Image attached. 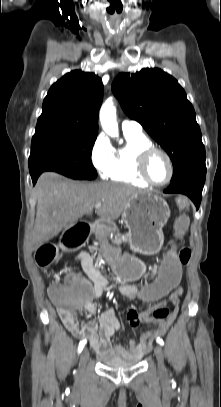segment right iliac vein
<instances>
[{
    "mask_svg": "<svg viewBox=\"0 0 221 407\" xmlns=\"http://www.w3.org/2000/svg\"><path fill=\"white\" fill-rule=\"evenodd\" d=\"M89 359V351L87 348H84L81 352V356H80V369L83 370L87 361Z\"/></svg>",
    "mask_w": 221,
    "mask_h": 407,
    "instance_id": "1",
    "label": "right iliac vein"
}]
</instances>
